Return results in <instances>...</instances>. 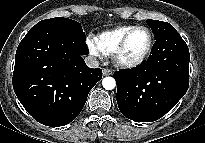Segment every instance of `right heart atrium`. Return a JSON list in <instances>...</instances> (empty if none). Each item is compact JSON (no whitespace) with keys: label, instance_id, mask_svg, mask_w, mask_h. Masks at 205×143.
Returning <instances> with one entry per match:
<instances>
[{"label":"right heart atrium","instance_id":"obj_1","mask_svg":"<svg viewBox=\"0 0 205 143\" xmlns=\"http://www.w3.org/2000/svg\"><path fill=\"white\" fill-rule=\"evenodd\" d=\"M86 45L88 47L89 52L94 55L99 57L101 55V51L99 50L95 40L93 38H88L86 40Z\"/></svg>","mask_w":205,"mask_h":143}]
</instances>
